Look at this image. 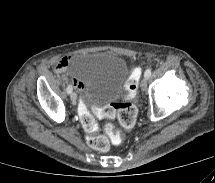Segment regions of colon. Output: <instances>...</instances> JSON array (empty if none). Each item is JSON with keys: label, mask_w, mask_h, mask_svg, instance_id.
Masks as SVG:
<instances>
[{"label": "colon", "mask_w": 215, "mask_h": 183, "mask_svg": "<svg viewBox=\"0 0 215 183\" xmlns=\"http://www.w3.org/2000/svg\"><path fill=\"white\" fill-rule=\"evenodd\" d=\"M129 97L136 93V83L129 82ZM93 113L98 117L113 118L117 115L119 122L125 128H131L136 120L137 111L131 102H123L115 105L98 106L93 108ZM80 118L84 128L89 131L88 144L99 151H107L111 144L119 145L125 141L122 134L116 133L111 125L105 127V134H97L94 117L83 106L80 109Z\"/></svg>", "instance_id": "1"}]
</instances>
